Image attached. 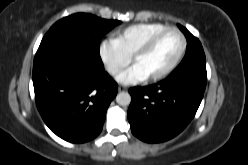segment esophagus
I'll use <instances>...</instances> for the list:
<instances>
[{
  "label": "esophagus",
  "instance_id": "1",
  "mask_svg": "<svg viewBox=\"0 0 248 165\" xmlns=\"http://www.w3.org/2000/svg\"><path fill=\"white\" fill-rule=\"evenodd\" d=\"M127 88L125 86H119L118 87V91L121 92V91H126Z\"/></svg>",
  "mask_w": 248,
  "mask_h": 165
}]
</instances>
